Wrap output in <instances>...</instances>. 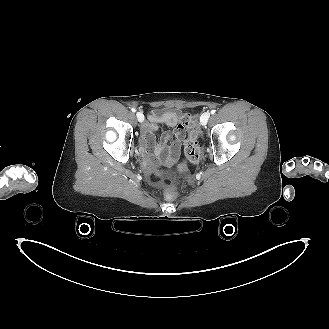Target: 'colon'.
Returning <instances> with one entry per match:
<instances>
[{"label":"colon","instance_id":"obj_1","mask_svg":"<svg viewBox=\"0 0 329 329\" xmlns=\"http://www.w3.org/2000/svg\"><path fill=\"white\" fill-rule=\"evenodd\" d=\"M181 127L184 130L185 138V152L190 163H196L201 155V150L198 145L199 131L196 126V121L192 114H184ZM162 177L174 186H188L193 183L194 179L186 164H180L175 170L170 168H165L162 170ZM167 196L173 198L175 196V191L173 188L168 189Z\"/></svg>","mask_w":329,"mask_h":329}]
</instances>
